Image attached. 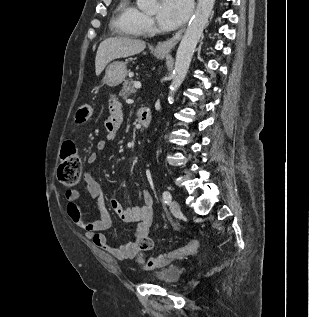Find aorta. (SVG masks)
I'll return each instance as SVG.
<instances>
[{"label":"aorta","instance_id":"obj_1","mask_svg":"<svg viewBox=\"0 0 309 317\" xmlns=\"http://www.w3.org/2000/svg\"><path fill=\"white\" fill-rule=\"evenodd\" d=\"M156 1L157 0H137V4L141 10L153 11L156 7ZM214 3L215 0H198L195 13L177 50L168 100L173 99L175 92L181 86L187 75L195 48L206 26Z\"/></svg>","mask_w":309,"mask_h":317}]
</instances>
